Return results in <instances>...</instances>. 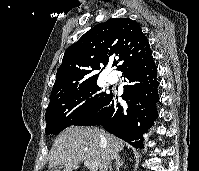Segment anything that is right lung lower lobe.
<instances>
[{
    "instance_id": "right-lung-lower-lobe-1",
    "label": "right lung lower lobe",
    "mask_w": 199,
    "mask_h": 171,
    "mask_svg": "<svg viewBox=\"0 0 199 171\" xmlns=\"http://www.w3.org/2000/svg\"><path fill=\"white\" fill-rule=\"evenodd\" d=\"M122 73L127 81L121 96L126 105L121 106L112 93L108 94L97 107L73 125H102L108 132L130 145L142 148L143 132L152 126L157 117V67L151 55L127 67Z\"/></svg>"
}]
</instances>
